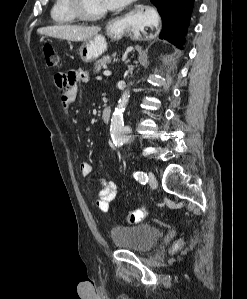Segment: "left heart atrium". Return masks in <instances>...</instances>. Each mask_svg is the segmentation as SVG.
<instances>
[{"label": "left heart atrium", "mask_w": 247, "mask_h": 299, "mask_svg": "<svg viewBox=\"0 0 247 299\" xmlns=\"http://www.w3.org/2000/svg\"><path fill=\"white\" fill-rule=\"evenodd\" d=\"M129 1L130 0H103L104 5L107 9L119 8L128 3Z\"/></svg>", "instance_id": "1"}]
</instances>
